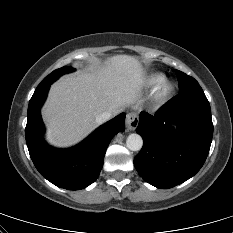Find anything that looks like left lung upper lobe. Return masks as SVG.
Instances as JSON below:
<instances>
[{
  "instance_id": "1",
  "label": "left lung upper lobe",
  "mask_w": 233,
  "mask_h": 233,
  "mask_svg": "<svg viewBox=\"0 0 233 233\" xmlns=\"http://www.w3.org/2000/svg\"><path fill=\"white\" fill-rule=\"evenodd\" d=\"M177 77L179 82V89L181 92H201L203 91L199 83L191 76L178 71Z\"/></svg>"
}]
</instances>
